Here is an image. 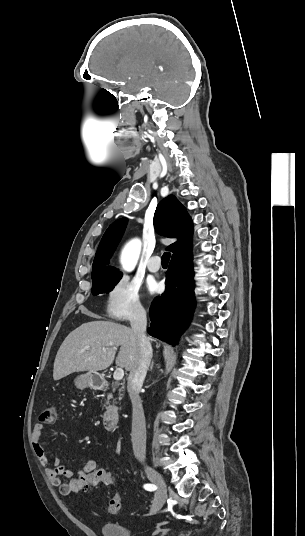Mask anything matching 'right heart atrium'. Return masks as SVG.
Instances as JSON below:
<instances>
[{
  "instance_id": "d8ad5b80",
  "label": "right heart atrium",
  "mask_w": 305,
  "mask_h": 536,
  "mask_svg": "<svg viewBox=\"0 0 305 536\" xmlns=\"http://www.w3.org/2000/svg\"><path fill=\"white\" fill-rule=\"evenodd\" d=\"M105 309L110 317L120 321L143 316L140 285L127 275L120 276L106 295Z\"/></svg>"
}]
</instances>
